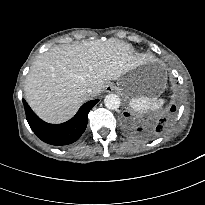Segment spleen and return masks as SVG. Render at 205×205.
Segmentation results:
<instances>
[{
	"label": "spleen",
	"instance_id": "obj_1",
	"mask_svg": "<svg viewBox=\"0 0 205 205\" xmlns=\"http://www.w3.org/2000/svg\"><path fill=\"white\" fill-rule=\"evenodd\" d=\"M164 103L162 99L139 97L130 100V106L136 111H143L149 108H159Z\"/></svg>",
	"mask_w": 205,
	"mask_h": 205
}]
</instances>
